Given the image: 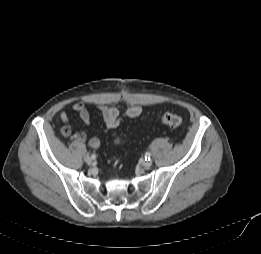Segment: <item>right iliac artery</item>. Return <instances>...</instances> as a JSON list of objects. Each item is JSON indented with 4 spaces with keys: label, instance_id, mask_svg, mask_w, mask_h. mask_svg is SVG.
<instances>
[{
    "label": "right iliac artery",
    "instance_id": "1",
    "mask_svg": "<svg viewBox=\"0 0 261 254\" xmlns=\"http://www.w3.org/2000/svg\"><path fill=\"white\" fill-rule=\"evenodd\" d=\"M91 157L94 159L96 156H95V155H92Z\"/></svg>",
    "mask_w": 261,
    "mask_h": 254
}]
</instances>
